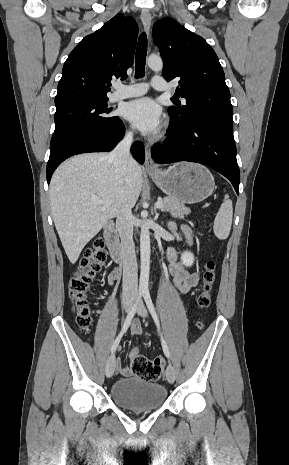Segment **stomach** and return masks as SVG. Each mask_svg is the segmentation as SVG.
<instances>
[{
	"mask_svg": "<svg viewBox=\"0 0 289 465\" xmlns=\"http://www.w3.org/2000/svg\"><path fill=\"white\" fill-rule=\"evenodd\" d=\"M149 175L165 194L187 204L205 200L215 186L211 172L197 163L180 162Z\"/></svg>",
	"mask_w": 289,
	"mask_h": 465,
	"instance_id": "obj_1",
	"label": "stomach"
}]
</instances>
